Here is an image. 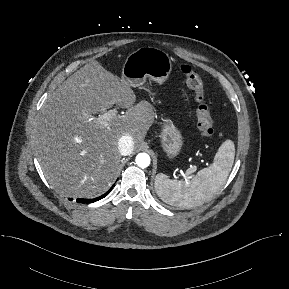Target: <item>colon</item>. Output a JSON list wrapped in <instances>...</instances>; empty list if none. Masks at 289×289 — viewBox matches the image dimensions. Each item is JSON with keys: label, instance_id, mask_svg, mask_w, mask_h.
I'll list each match as a JSON object with an SVG mask.
<instances>
[{"label": "colon", "instance_id": "colon-1", "mask_svg": "<svg viewBox=\"0 0 289 289\" xmlns=\"http://www.w3.org/2000/svg\"><path fill=\"white\" fill-rule=\"evenodd\" d=\"M180 69L185 76L187 87L193 91L195 101L197 102L196 119L199 132L202 137L209 138L214 133V121L211 111L204 100L203 82L189 64L182 63Z\"/></svg>", "mask_w": 289, "mask_h": 289}]
</instances>
